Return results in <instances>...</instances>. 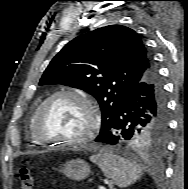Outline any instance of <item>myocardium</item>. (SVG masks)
I'll list each match as a JSON object with an SVG mask.
<instances>
[{"instance_id":"1","label":"myocardium","mask_w":188,"mask_h":189,"mask_svg":"<svg viewBox=\"0 0 188 189\" xmlns=\"http://www.w3.org/2000/svg\"><path fill=\"white\" fill-rule=\"evenodd\" d=\"M60 97H73L81 101L88 111V123L86 128L83 130V132L74 137L69 139H45L40 135V123L41 119L47 110L48 106L51 102H53L55 99ZM100 116L97 109V106L95 105L94 101L85 93L81 91L76 90H60L52 95H50L48 98H46L41 105L38 107L34 120L32 123V134L35 139V141L42 145H54V146H71L79 144L89 137H91L95 131L97 130L99 126Z\"/></svg>"}]
</instances>
